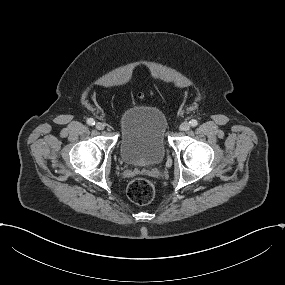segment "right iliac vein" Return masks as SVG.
I'll list each match as a JSON object with an SVG mask.
<instances>
[{
    "label": "right iliac vein",
    "instance_id": "right-iliac-vein-1",
    "mask_svg": "<svg viewBox=\"0 0 285 285\" xmlns=\"http://www.w3.org/2000/svg\"><path fill=\"white\" fill-rule=\"evenodd\" d=\"M95 127H96V129H98V130H103V129L105 128V125H104L103 123H101V122H97V123L95 124Z\"/></svg>",
    "mask_w": 285,
    "mask_h": 285
}]
</instances>
